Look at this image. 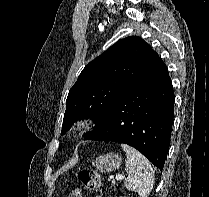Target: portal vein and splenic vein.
<instances>
[{"label":"portal vein and splenic vein","instance_id":"1","mask_svg":"<svg viewBox=\"0 0 209 197\" xmlns=\"http://www.w3.org/2000/svg\"><path fill=\"white\" fill-rule=\"evenodd\" d=\"M124 175H122V174H120V175H117L116 176V180H122V179H124Z\"/></svg>","mask_w":209,"mask_h":197}]
</instances>
